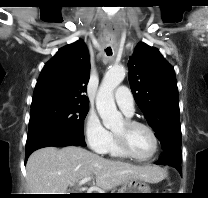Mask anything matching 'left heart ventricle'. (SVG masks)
I'll return each mask as SVG.
<instances>
[{
	"instance_id": "1",
	"label": "left heart ventricle",
	"mask_w": 208,
	"mask_h": 198,
	"mask_svg": "<svg viewBox=\"0 0 208 198\" xmlns=\"http://www.w3.org/2000/svg\"><path fill=\"white\" fill-rule=\"evenodd\" d=\"M113 131L124 136L130 150L138 157L149 156L154 147L151 134L143 127H127L125 122H120Z\"/></svg>"
}]
</instances>
